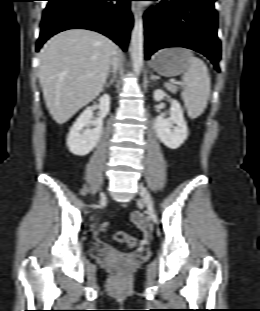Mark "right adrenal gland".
<instances>
[{
	"label": "right adrenal gland",
	"instance_id": "2a0ac1e0",
	"mask_svg": "<svg viewBox=\"0 0 260 311\" xmlns=\"http://www.w3.org/2000/svg\"><path fill=\"white\" fill-rule=\"evenodd\" d=\"M115 77H116V74H114L111 79L109 80V82L105 83V87L109 88L115 81Z\"/></svg>",
	"mask_w": 260,
	"mask_h": 311
}]
</instances>
